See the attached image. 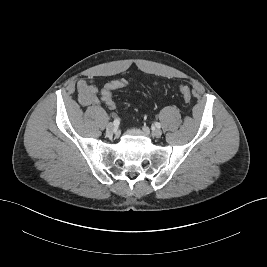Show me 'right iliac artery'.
<instances>
[{
  "label": "right iliac artery",
  "instance_id": "right-iliac-artery-1",
  "mask_svg": "<svg viewBox=\"0 0 267 267\" xmlns=\"http://www.w3.org/2000/svg\"><path fill=\"white\" fill-rule=\"evenodd\" d=\"M113 124L117 127L119 124H120V120L118 118H116L114 121H113Z\"/></svg>",
  "mask_w": 267,
  "mask_h": 267
}]
</instances>
